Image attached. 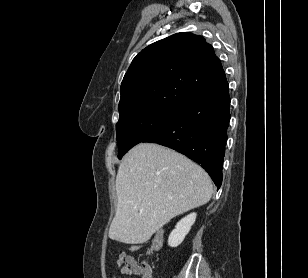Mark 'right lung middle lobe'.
I'll return each mask as SVG.
<instances>
[{"mask_svg":"<svg viewBox=\"0 0 308 278\" xmlns=\"http://www.w3.org/2000/svg\"><path fill=\"white\" fill-rule=\"evenodd\" d=\"M178 113L176 108H154L134 113L121 119L116 124L118 158L134 145L167 125Z\"/></svg>","mask_w":308,"mask_h":278,"instance_id":"obj_1","label":"right lung middle lobe"}]
</instances>
